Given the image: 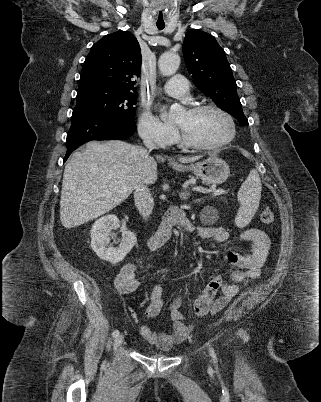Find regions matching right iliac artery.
I'll return each mask as SVG.
<instances>
[{
    "mask_svg": "<svg viewBox=\"0 0 321 402\" xmlns=\"http://www.w3.org/2000/svg\"><path fill=\"white\" fill-rule=\"evenodd\" d=\"M112 335H113V337H117V336L119 335V331H118V330H115V331L112 333Z\"/></svg>",
    "mask_w": 321,
    "mask_h": 402,
    "instance_id": "obj_1",
    "label": "right iliac artery"
}]
</instances>
